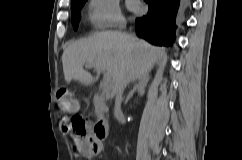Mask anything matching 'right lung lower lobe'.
Segmentation results:
<instances>
[{
	"mask_svg": "<svg viewBox=\"0 0 242 160\" xmlns=\"http://www.w3.org/2000/svg\"><path fill=\"white\" fill-rule=\"evenodd\" d=\"M148 13L135 20L137 35L149 42L167 46L174 42L175 19L191 0H144Z\"/></svg>",
	"mask_w": 242,
	"mask_h": 160,
	"instance_id": "obj_1",
	"label": "right lung lower lobe"
}]
</instances>
